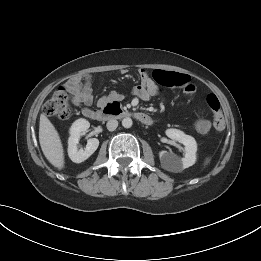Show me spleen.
I'll list each match as a JSON object with an SVG mask.
<instances>
[{"label":"spleen","instance_id":"spleen-1","mask_svg":"<svg viewBox=\"0 0 261 261\" xmlns=\"http://www.w3.org/2000/svg\"><path fill=\"white\" fill-rule=\"evenodd\" d=\"M209 162H210V158H207V159L205 160V165H207Z\"/></svg>","mask_w":261,"mask_h":261}]
</instances>
